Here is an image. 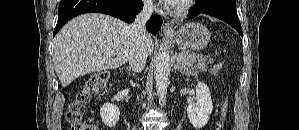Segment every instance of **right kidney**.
Returning <instances> with one entry per match:
<instances>
[{"label": "right kidney", "instance_id": "obj_1", "mask_svg": "<svg viewBox=\"0 0 299 130\" xmlns=\"http://www.w3.org/2000/svg\"><path fill=\"white\" fill-rule=\"evenodd\" d=\"M100 116L106 126L114 127L119 120L120 110L116 105L105 103L100 108Z\"/></svg>", "mask_w": 299, "mask_h": 130}]
</instances>
